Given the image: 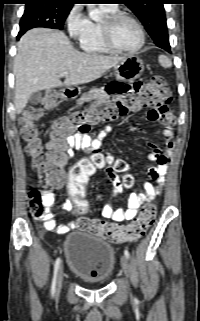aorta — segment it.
<instances>
[{
	"label": "aorta",
	"mask_w": 200,
	"mask_h": 321,
	"mask_svg": "<svg viewBox=\"0 0 200 321\" xmlns=\"http://www.w3.org/2000/svg\"><path fill=\"white\" fill-rule=\"evenodd\" d=\"M88 12H89V17L92 20H99L101 17V12L98 8H96L94 5L95 4H88Z\"/></svg>",
	"instance_id": "1"
}]
</instances>
